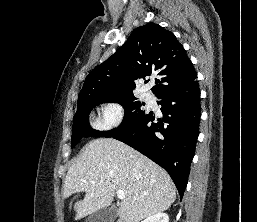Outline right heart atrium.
Listing matches in <instances>:
<instances>
[{"label":"right heart atrium","mask_w":257,"mask_h":222,"mask_svg":"<svg viewBox=\"0 0 257 222\" xmlns=\"http://www.w3.org/2000/svg\"><path fill=\"white\" fill-rule=\"evenodd\" d=\"M111 110L114 113V119L110 122L103 121L98 124V127L101 129H110L118 126L124 116L125 109L121 103H112L110 106Z\"/></svg>","instance_id":"1"}]
</instances>
